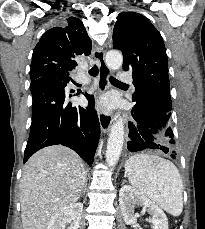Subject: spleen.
<instances>
[{
	"label": "spleen",
	"instance_id": "1",
	"mask_svg": "<svg viewBox=\"0 0 205 229\" xmlns=\"http://www.w3.org/2000/svg\"><path fill=\"white\" fill-rule=\"evenodd\" d=\"M132 186L172 216L183 211V183L177 167L163 158L137 154L125 164Z\"/></svg>",
	"mask_w": 205,
	"mask_h": 229
}]
</instances>
